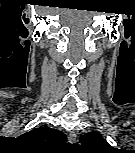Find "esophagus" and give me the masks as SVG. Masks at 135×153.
I'll list each match as a JSON object with an SVG mask.
<instances>
[{
	"instance_id": "1",
	"label": "esophagus",
	"mask_w": 135,
	"mask_h": 153,
	"mask_svg": "<svg viewBox=\"0 0 135 153\" xmlns=\"http://www.w3.org/2000/svg\"><path fill=\"white\" fill-rule=\"evenodd\" d=\"M76 138H77V136H76L75 131H71V132L69 133V135H68V140H69V142L75 143V142H76Z\"/></svg>"
}]
</instances>
